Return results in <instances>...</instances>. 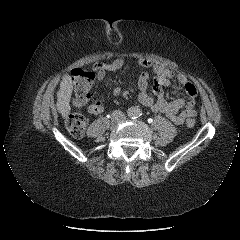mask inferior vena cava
I'll return each instance as SVG.
<instances>
[{"label": "inferior vena cava", "mask_w": 240, "mask_h": 240, "mask_svg": "<svg viewBox=\"0 0 240 240\" xmlns=\"http://www.w3.org/2000/svg\"><path fill=\"white\" fill-rule=\"evenodd\" d=\"M125 120V115L120 110H115L112 112V121L115 123H120Z\"/></svg>", "instance_id": "1"}]
</instances>
